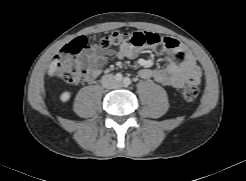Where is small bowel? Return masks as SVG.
<instances>
[{"label": "small bowel", "instance_id": "obj_1", "mask_svg": "<svg viewBox=\"0 0 246 181\" xmlns=\"http://www.w3.org/2000/svg\"><path fill=\"white\" fill-rule=\"evenodd\" d=\"M137 51L138 49L129 43H123L117 50L91 44L82 51V57L90 68V78L95 79L105 71L108 57L114 55L120 59L133 58ZM163 51L167 58V64L161 68H142L139 71L141 78L151 79L173 88H181L188 82H200L201 69L194 55L184 44L173 37H166Z\"/></svg>", "mask_w": 246, "mask_h": 181}]
</instances>
